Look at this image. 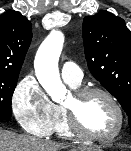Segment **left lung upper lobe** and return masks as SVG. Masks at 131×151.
<instances>
[{"label":"left lung upper lobe","mask_w":131,"mask_h":151,"mask_svg":"<svg viewBox=\"0 0 131 151\" xmlns=\"http://www.w3.org/2000/svg\"><path fill=\"white\" fill-rule=\"evenodd\" d=\"M85 57L91 74L119 101L131 127V32L108 11L83 20Z\"/></svg>","instance_id":"left-lung-upper-lobe-1"}]
</instances>
